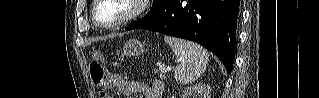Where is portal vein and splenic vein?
Wrapping results in <instances>:
<instances>
[{
    "mask_svg": "<svg viewBox=\"0 0 319 98\" xmlns=\"http://www.w3.org/2000/svg\"><path fill=\"white\" fill-rule=\"evenodd\" d=\"M159 68H161V70L162 71H169V70H171V67H169V66H165V65H159Z\"/></svg>",
    "mask_w": 319,
    "mask_h": 98,
    "instance_id": "portal-vein-and-splenic-vein-1",
    "label": "portal vein and splenic vein"
}]
</instances>
